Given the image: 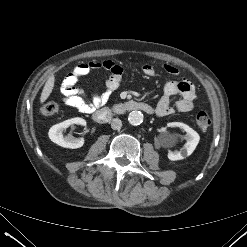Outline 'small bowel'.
I'll list each match as a JSON object with an SVG mask.
<instances>
[{"mask_svg": "<svg viewBox=\"0 0 247 247\" xmlns=\"http://www.w3.org/2000/svg\"><path fill=\"white\" fill-rule=\"evenodd\" d=\"M97 69H104L110 75L105 82L103 92L95 93L90 99H87L85 92L77 86V83L81 78ZM164 69L173 76L179 73L178 69L173 65L166 64ZM142 72L148 77H156L157 75L155 68L151 64H144ZM122 78V67L111 60L80 63L74 67L62 83L60 89L62 100L67 106L75 108L82 113H91L108 101L112 93L120 87ZM173 95H180L181 98L174 105H171L170 98ZM196 98L195 87L190 81L186 79L168 81L163 86V93L155 106V113L157 116L164 117L175 112H190L194 109Z\"/></svg>", "mask_w": 247, "mask_h": 247, "instance_id": "small-bowel-1", "label": "small bowel"}]
</instances>
